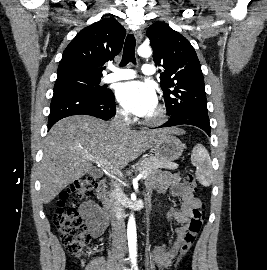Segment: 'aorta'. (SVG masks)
I'll return each mask as SVG.
<instances>
[{
    "label": "aorta",
    "mask_w": 267,
    "mask_h": 270,
    "mask_svg": "<svg viewBox=\"0 0 267 270\" xmlns=\"http://www.w3.org/2000/svg\"><path fill=\"white\" fill-rule=\"evenodd\" d=\"M137 53L141 57L148 58L152 55V50L148 45H141L138 48ZM127 237H128L130 258L132 261H135L137 256V234H136V222L133 214L130 215L128 220Z\"/></svg>",
    "instance_id": "1"
}]
</instances>
